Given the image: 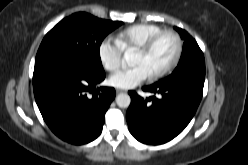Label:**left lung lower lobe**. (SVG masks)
Returning <instances> with one entry per match:
<instances>
[{"label": "left lung lower lobe", "mask_w": 248, "mask_h": 165, "mask_svg": "<svg viewBox=\"0 0 248 165\" xmlns=\"http://www.w3.org/2000/svg\"><path fill=\"white\" fill-rule=\"evenodd\" d=\"M205 75L143 87L154 95L140 97L129 91L131 104L126 119L130 133L145 144H162L180 134L193 118L203 94ZM157 95V96H156Z\"/></svg>", "instance_id": "0a47b994"}]
</instances>
